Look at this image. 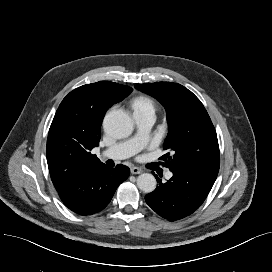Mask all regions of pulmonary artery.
<instances>
[{
    "instance_id": "pulmonary-artery-1",
    "label": "pulmonary artery",
    "mask_w": 272,
    "mask_h": 272,
    "mask_svg": "<svg viewBox=\"0 0 272 272\" xmlns=\"http://www.w3.org/2000/svg\"><path fill=\"white\" fill-rule=\"evenodd\" d=\"M135 122L137 126L136 134L125 141L116 143L110 148L102 152V156L113 160H121L136 154L142 150L149 139V132L155 122V116L148 115H135ZM171 175L168 174V177Z\"/></svg>"
}]
</instances>
